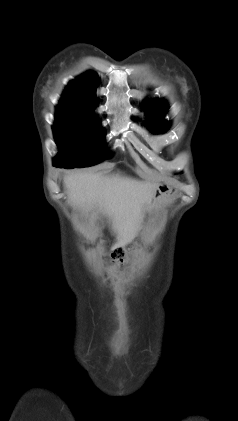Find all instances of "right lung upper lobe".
<instances>
[{"instance_id":"1","label":"right lung upper lobe","mask_w":238,"mask_h":421,"mask_svg":"<svg viewBox=\"0 0 238 421\" xmlns=\"http://www.w3.org/2000/svg\"><path fill=\"white\" fill-rule=\"evenodd\" d=\"M98 82V76L94 72H87L69 83L62 100L96 104L95 90Z\"/></svg>"}]
</instances>
